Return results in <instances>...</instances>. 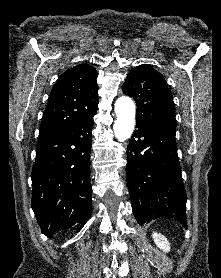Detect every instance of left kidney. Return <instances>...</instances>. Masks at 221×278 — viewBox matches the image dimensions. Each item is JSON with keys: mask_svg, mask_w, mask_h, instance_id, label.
<instances>
[{"mask_svg": "<svg viewBox=\"0 0 221 278\" xmlns=\"http://www.w3.org/2000/svg\"><path fill=\"white\" fill-rule=\"evenodd\" d=\"M152 237L154 239L156 246L159 247L162 251L164 252L170 251V243L165 236L161 235L160 233L154 232L152 234Z\"/></svg>", "mask_w": 221, "mask_h": 278, "instance_id": "1", "label": "left kidney"}]
</instances>
